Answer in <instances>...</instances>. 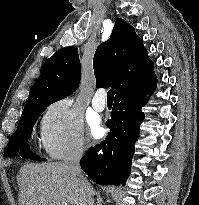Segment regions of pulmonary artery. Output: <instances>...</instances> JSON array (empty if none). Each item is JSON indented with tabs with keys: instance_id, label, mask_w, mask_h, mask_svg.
<instances>
[{
	"instance_id": "e3ab8cb5",
	"label": "pulmonary artery",
	"mask_w": 199,
	"mask_h": 205,
	"mask_svg": "<svg viewBox=\"0 0 199 205\" xmlns=\"http://www.w3.org/2000/svg\"><path fill=\"white\" fill-rule=\"evenodd\" d=\"M92 107L97 112H102L106 108V100L104 90L99 89L95 92L93 99H92Z\"/></svg>"
}]
</instances>
